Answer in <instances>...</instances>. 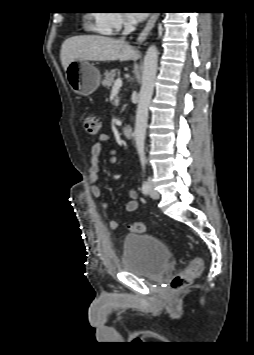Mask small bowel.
<instances>
[{"label":"small bowel","mask_w":254,"mask_h":355,"mask_svg":"<svg viewBox=\"0 0 254 355\" xmlns=\"http://www.w3.org/2000/svg\"><path fill=\"white\" fill-rule=\"evenodd\" d=\"M110 142V136L108 134L102 133L98 136L96 142L92 145L90 149V168H89V181L91 183L90 191L91 194L99 198L102 195L101 188L96 184L99 179V159L103 152L104 145ZM109 161L114 163L115 151L109 148ZM129 200L126 202L125 209L127 212H134L138 208V193L135 189H130L128 191ZM104 208L108 207L106 202L102 203ZM109 227L112 230H117L119 228V222L115 219L109 221Z\"/></svg>","instance_id":"small-bowel-1"}]
</instances>
